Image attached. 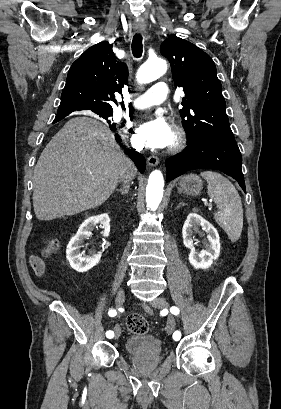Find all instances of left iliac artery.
<instances>
[{
	"label": "left iliac artery",
	"mask_w": 281,
	"mask_h": 409,
	"mask_svg": "<svg viewBox=\"0 0 281 409\" xmlns=\"http://www.w3.org/2000/svg\"><path fill=\"white\" fill-rule=\"evenodd\" d=\"M171 313L174 315H178L179 314V309L177 307H171L170 309ZM181 338V333L180 331H175V333L173 334V339L174 340H179Z\"/></svg>",
	"instance_id": "44dca946"
}]
</instances>
